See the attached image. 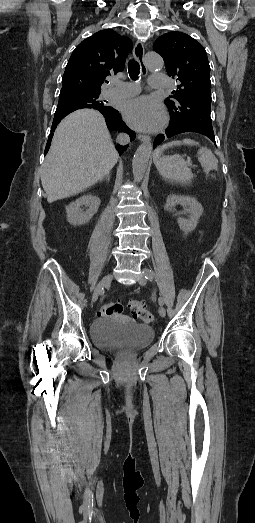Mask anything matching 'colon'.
<instances>
[{"label":"colon","instance_id":"colon-1","mask_svg":"<svg viewBox=\"0 0 255 523\" xmlns=\"http://www.w3.org/2000/svg\"><path fill=\"white\" fill-rule=\"evenodd\" d=\"M129 308L133 315L145 323L154 321V315L146 308L145 304L139 300H130ZM123 311V305L119 302L106 303L100 314L103 316H112L120 314Z\"/></svg>","mask_w":255,"mask_h":523}]
</instances>
